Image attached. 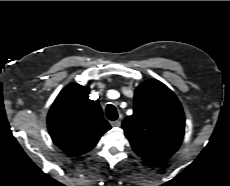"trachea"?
I'll return each instance as SVG.
<instances>
[{
  "label": "trachea",
  "mask_w": 230,
  "mask_h": 186,
  "mask_svg": "<svg viewBox=\"0 0 230 186\" xmlns=\"http://www.w3.org/2000/svg\"><path fill=\"white\" fill-rule=\"evenodd\" d=\"M106 117L112 121L118 118L117 110L112 104H108L106 107Z\"/></svg>",
  "instance_id": "trachea-1"
}]
</instances>
